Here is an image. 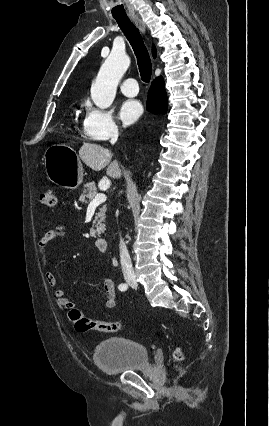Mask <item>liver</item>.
<instances>
[{
    "label": "liver",
    "instance_id": "liver-1",
    "mask_svg": "<svg viewBox=\"0 0 269 426\" xmlns=\"http://www.w3.org/2000/svg\"><path fill=\"white\" fill-rule=\"evenodd\" d=\"M79 158L92 170L100 171L106 166V174L112 178H120L121 170L118 162L112 161V154L101 145L95 143L84 142L79 149Z\"/></svg>",
    "mask_w": 269,
    "mask_h": 426
}]
</instances>
